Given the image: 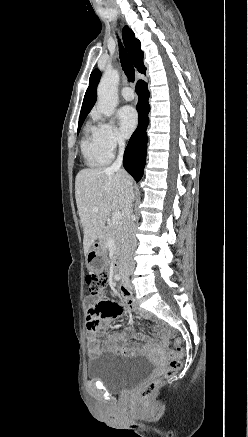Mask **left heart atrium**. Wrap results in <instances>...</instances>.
<instances>
[{
    "instance_id": "left-heart-atrium-1",
    "label": "left heart atrium",
    "mask_w": 248,
    "mask_h": 437,
    "mask_svg": "<svg viewBox=\"0 0 248 437\" xmlns=\"http://www.w3.org/2000/svg\"><path fill=\"white\" fill-rule=\"evenodd\" d=\"M120 131L124 137H129L137 125V114L131 106H124L118 112Z\"/></svg>"
}]
</instances>
